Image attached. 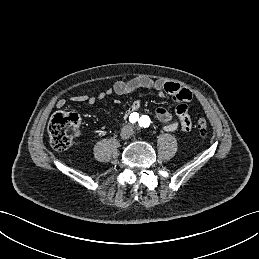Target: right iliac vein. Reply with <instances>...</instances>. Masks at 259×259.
I'll use <instances>...</instances> for the list:
<instances>
[{
	"mask_svg": "<svg viewBox=\"0 0 259 259\" xmlns=\"http://www.w3.org/2000/svg\"><path fill=\"white\" fill-rule=\"evenodd\" d=\"M129 137V133L127 132V131H124L123 133H122V138L123 139H127Z\"/></svg>",
	"mask_w": 259,
	"mask_h": 259,
	"instance_id": "obj_1",
	"label": "right iliac vein"
}]
</instances>
